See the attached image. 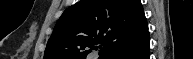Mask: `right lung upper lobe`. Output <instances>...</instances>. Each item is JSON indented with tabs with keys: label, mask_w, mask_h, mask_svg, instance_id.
I'll return each mask as SVG.
<instances>
[{
	"label": "right lung upper lobe",
	"mask_w": 193,
	"mask_h": 59,
	"mask_svg": "<svg viewBox=\"0 0 193 59\" xmlns=\"http://www.w3.org/2000/svg\"><path fill=\"white\" fill-rule=\"evenodd\" d=\"M146 32L140 0H81L59 18L44 59H86L97 44L99 59H108Z\"/></svg>",
	"instance_id": "1"
}]
</instances>
